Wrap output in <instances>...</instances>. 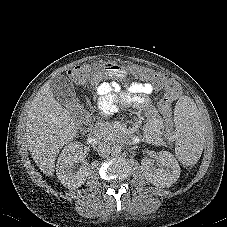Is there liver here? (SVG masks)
Segmentation results:
<instances>
[{"mask_svg": "<svg viewBox=\"0 0 227 227\" xmlns=\"http://www.w3.org/2000/svg\"><path fill=\"white\" fill-rule=\"evenodd\" d=\"M50 81L38 91L28 110L26 138L28 150L47 176H53L59 150L77 135L75 120L50 91Z\"/></svg>", "mask_w": 227, "mask_h": 227, "instance_id": "1", "label": "liver"}]
</instances>
